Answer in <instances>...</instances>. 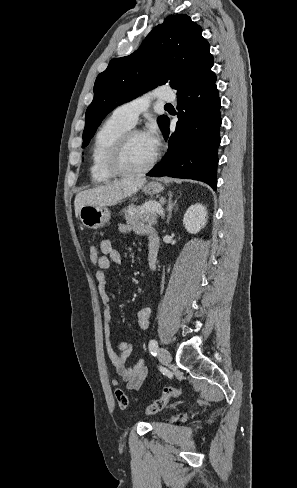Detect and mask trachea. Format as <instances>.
Instances as JSON below:
<instances>
[{"instance_id": "trachea-1", "label": "trachea", "mask_w": 297, "mask_h": 488, "mask_svg": "<svg viewBox=\"0 0 297 488\" xmlns=\"http://www.w3.org/2000/svg\"><path fill=\"white\" fill-rule=\"evenodd\" d=\"M165 107H172V105L171 104H166Z\"/></svg>"}]
</instances>
